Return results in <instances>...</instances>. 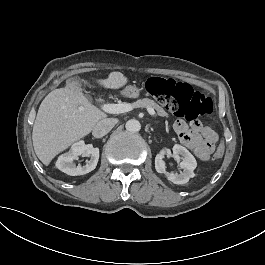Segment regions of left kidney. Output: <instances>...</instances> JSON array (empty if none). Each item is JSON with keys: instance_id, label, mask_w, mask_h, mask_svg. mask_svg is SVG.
Masks as SVG:
<instances>
[{"instance_id": "left-kidney-1", "label": "left kidney", "mask_w": 265, "mask_h": 265, "mask_svg": "<svg viewBox=\"0 0 265 265\" xmlns=\"http://www.w3.org/2000/svg\"><path fill=\"white\" fill-rule=\"evenodd\" d=\"M173 154L181 155L183 161L180 163V168L183 172L180 174L166 172L165 162L163 161L166 149H162L155 157V169L158 173H164L167 179L174 184H185L190 178L195 176L194 170L197 166L196 159L194 156L183 146L175 144L173 146Z\"/></svg>"}]
</instances>
